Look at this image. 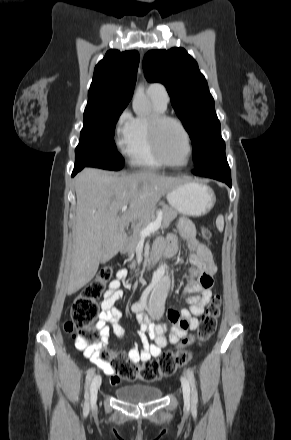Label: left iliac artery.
Masks as SVG:
<instances>
[{"mask_svg": "<svg viewBox=\"0 0 291 440\" xmlns=\"http://www.w3.org/2000/svg\"><path fill=\"white\" fill-rule=\"evenodd\" d=\"M186 374H187V377L189 379V382H190L191 388H192L191 402H192V405L196 406L198 403V394H197V389H196L195 376H194L193 371L189 368L186 369Z\"/></svg>", "mask_w": 291, "mask_h": 440, "instance_id": "44dca946", "label": "left iliac artery"}]
</instances>
